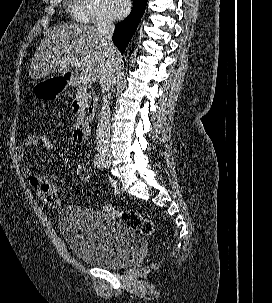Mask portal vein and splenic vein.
<instances>
[{
  "instance_id": "obj_1",
  "label": "portal vein and splenic vein",
  "mask_w": 272,
  "mask_h": 303,
  "mask_svg": "<svg viewBox=\"0 0 272 303\" xmlns=\"http://www.w3.org/2000/svg\"><path fill=\"white\" fill-rule=\"evenodd\" d=\"M68 61L71 62V63H73V64H75V65L78 64V60H76V59H70V60H68ZM63 63H64V62H63ZM79 81H80V83H81L82 85H88L89 82H90V77L87 76V75L81 74V75L79 76Z\"/></svg>"
}]
</instances>
